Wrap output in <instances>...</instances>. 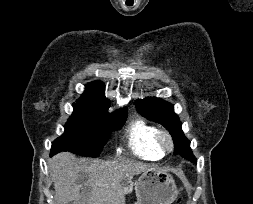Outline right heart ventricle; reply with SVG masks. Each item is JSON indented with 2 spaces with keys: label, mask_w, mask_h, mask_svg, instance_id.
I'll list each match as a JSON object with an SVG mask.
<instances>
[{
  "label": "right heart ventricle",
  "mask_w": 253,
  "mask_h": 204,
  "mask_svg": "<svg viewBox=\"0 0 253 204\" xmlns=\"http://www.w3.org/2000/svg\"><path fill=\"white\" fill-rule=\"evenodd\" d=\"M157 129L142 119H135L128 126L127 141L131 150L148 160H159L163 153L156 143Z\"/></svg>",
  "instance_id": "e07e8e85"
}]
</instances>
